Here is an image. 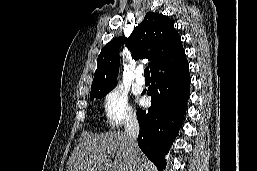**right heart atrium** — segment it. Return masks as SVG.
Listing matches in <instances>:
<instances>
[{
  "label": "right heart atrium",
  "mask_w": 257,
  "mask_h": 171,
  "mask_svg": "<svg viewBox=\"0 0 257 171\" xmlns=\"http://www.w3.org/2000/svg\"><path fill=\"white\" fill-rule=\"evenodd\" d=\"M103 114L106 123L113 128L136 120V113L128 95L119 88L110 90L103 98Z\"/></svg>",
  "instance_id": "obj_1"
}]
</instances>
